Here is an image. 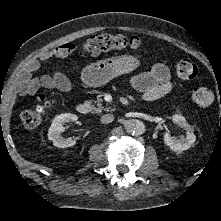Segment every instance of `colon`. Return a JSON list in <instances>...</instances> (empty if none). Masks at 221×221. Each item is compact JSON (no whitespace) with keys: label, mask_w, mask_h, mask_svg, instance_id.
Wrapping results in <instances>:
<instances>
[{"label":"colon","mask_w":221,"mask_h":221,"mask_svg":"<svg viewBox=\"0 0 221 221\" xmlns=\"http://www.w3.org/2000/svg\"><path fill=\"white\" fill-rule=\"evenodd\" d=\"M141 46V41L137 37H127L121 34H98L87 39L81 47L82 56H97L111 51L137 50ZM178 77L184 81H189L197 77L198 67L189 59L180 60L176 65ZM191 96L195 103L201 106L210 105L213 101V94L203 87L191 89ZM41 105L33 110H25L21 114V121L27 128L39 126L46 117L50 102L44 95L38 97Z\"/></svg>","instance_id":"obj_1"}]
</instances>
